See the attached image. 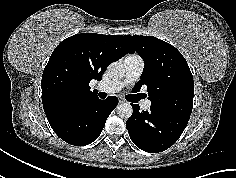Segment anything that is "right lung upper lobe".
I'll list each match as a JSON object with an SVG mask.
<instances>
[{"label":"right lung upper lobe","instance_id":"obj_1","mask_svg":"<svg viewBox=\"0 0 236 178\" xmlns=\"http://www.w3.org/2000/svg\"><path fill=\"white\" fill-rule=\"evenodd\" d=\"M133 52L127 36L122 35L82 33L63 40L42 75V103L47 118L96 98L89 82L101 80L110 62Z\"/></svg>","mask_w":236,"mask_h":178}]
</instances>
